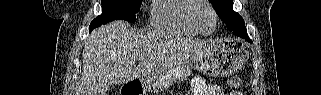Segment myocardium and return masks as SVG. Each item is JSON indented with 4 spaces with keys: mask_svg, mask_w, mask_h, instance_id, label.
<instances>
[{
    "mask_svg": "<svg viewBox=\"0 0 321 95\" xmlns=\"http://www.w3.org/2000/svg\"><path fill=\"white\" fill-rule=\"evenodd\" d=\"M198 5H205L206 7H208V9L211 11L212 13V18H213V28L210 31H203L198 24L196 23L195 19H194V15L193 12L195 10V8ZM187 18L189 20V22L191 23V25L193 26V28L197 31L198 34L201 35H210L212 34L216 28H217V14L215 9L213 8V6L211 5L210 1L208 0H191V4L188 7L187 10Z\"/></svg>",
    "mask_w": 321,
    "mask_h": 95,
    "instance_id": "f54148a6",
    "label": "myocardium"
}]
</instances>
